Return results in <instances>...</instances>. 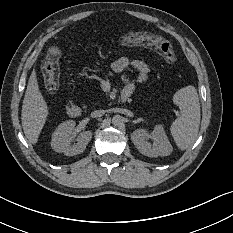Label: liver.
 I'll use <instances>...</instances> for the list:
<instances>
[{
    "label": "liver",
    "mask_w": 233,
    "mask_h": 233,
    "mask_svg": "<svg viewBox=\"0 0 233 233\" xmlns=\"http://www.w3.org/2000/svg\"><path fill=\"white\" fill-rule=\"evenodd\" d=\"M47 115V105L39 91L35 71L31 73L22 105V125L28 139L35 143Z\"/></svg>",
    "instance_id": "6515ba94"
}]
</instances>
